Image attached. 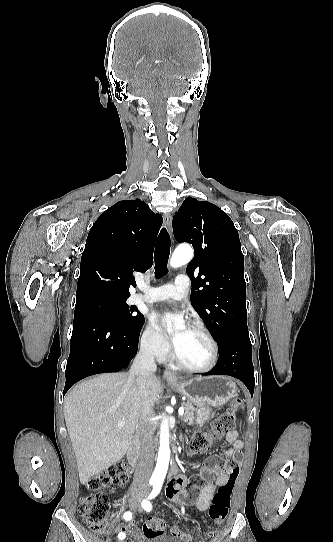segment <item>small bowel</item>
<instances>
[{"instance_id": "small-bowel-1", "label": "small bowel", "mask_w": 333, "mask_h": 542, "mask_svg": "<svg viewBox=\"0 0 333 542\" xmlns=\"http://www.w3.org/2000/svg\"><path fill=\"white\" fill-rule=\"evenodd\" d=\"M226 441L230 443L232 447L226 449L224 451V455L227 457H232L233 461L236 463L241 462L243 459V456L240 452L244 447V442L240 439L239 432L235 429L228 432L226 435ZM209 458L211 462L216 463L220 461L221 457L219 453L214 452L210 454ZM205 473L216 474V479L215 481L208 482L201 489L195 502L196 507L198 508L199 511H205L209 507L217 487L222 486L229 482L231 483L235 482V480L231 479L228 475L224 474L219 469L206 468ZM187 485H188V478L185 475L178 473L177 475L171 477L168 480L165 486L166 497L173 503L181 504V505H190L192 501L186 489ZM117 530L120 533L132 532L139 542L143 541L141 535L137 531H135L133 524L127 523V524L119 525L117 526ZM172 532L174 533V535L173 533L172 535L176 538L181 539L182 542H184L183 541L184 537L190 538L188 534L183 533L180 529L176 527L172 529ZM111 533L115 535L117 532L113 530Z\"/></svg>"}]
</instances>
